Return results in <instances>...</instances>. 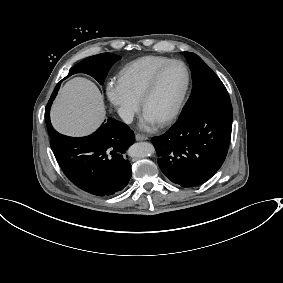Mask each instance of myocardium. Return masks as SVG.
I'll use <instances>...</instances> for the list:
<instances>
[{
  "instance_id": "f54148a6",
  "label": "myocardium",
  "mask_w": 283,
  "mask_h": 283,
  "mask_svg": "<svg viewBox=\"0 0 283 283\" xmlns=\"http://www.w3.org/2000/svg\"><path fill=\"white\" fill-rule=\"evenodd\" d=\"M173 64H181L183 67H184V70H185V74H186V80H185V85H184V88L176 102V105L174 106V108L172 109V111L167 114L166 116H164L163 118H161L160 120H158L159 123H167L171 120H173L180 112L182 106H183V103H184V100L186 98V95L188 93V90H189V87H190V82H191V73H190V69L188 67V65L182 61V60H171L165 64H163L162 66H160L159 68H157L151 75L150 77L148 78L145 86H144V89L140 95V98H139V105L142 109L145 101L151 96L154 88H155V85L158 81V79L160 78V76L164 73V71L170 67L171 65Z\"/></svg>"
}]
</instances>
